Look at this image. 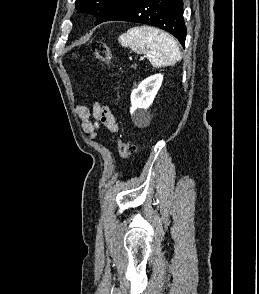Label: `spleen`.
<instances>
[{"mask_svg":"<svg viewBox=\"0 0 259 294\" xmlns=\"http://www.w3.org/2000/svg\"><path fill=\"white\" fill-rule=\"evenodd\" d=\"M118 42L132 51L146 54L153 67L171 66L181 58L176 40L149 26L133 27L119 36Z\"/></svg>","mask_w":259,"mask_h":294,"instance_id":"spleen-1","label":"spleen"}]
</instances>
